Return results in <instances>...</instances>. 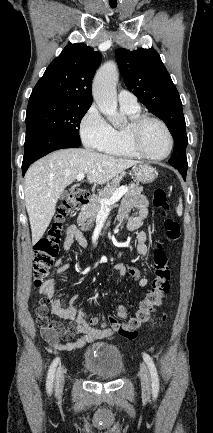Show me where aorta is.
Wrapping results in <instances>:
<instances>
[{
	"label": "aorta",
	"mask_w": 213,
	"mask_h": 433,
	"mask_svg": "<svg viewBox=\"0 0 213 433\" xmlns=\"http://www.w3.org/2000/svg\"><path fill=\"white\" fill-rule=\"evenodd\" d=\"M118 69L114 62H107L96 73L92 93L99 110L115 126L122 122L117 112L116 84Z\"/></svg>",
	"instance_id": "aorta-1"
}]
</instances>
